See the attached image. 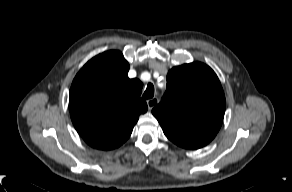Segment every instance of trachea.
I'll return each mask as SVG.
<instances>
[{
	"label": "trachea",
	"instance_id": "obj_1",
	"mask_svg": "<svg viewBox=\"0 0 292 192\" xmlns=\"http://www.w3.org/2000/svg\"><path fill=\"white\" fill-rule=\"evenodd\" d=\"M153 96H154V86L152 83H149L147 85V88H146L144 94H143V98L151 99V98H153Z\"/></svg>",
	"mask_w": 292,
	"mask_h": 192
}]
</instances>
